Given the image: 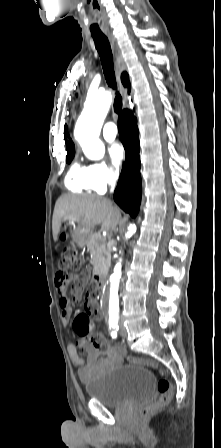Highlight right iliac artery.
Returning a JSON list of instances; mask_svg holds the SVG:
<instances>
[{
	"label": "right iliac artery",
	"mask_w": 221,
	"mask_h": 448,
	"mask_svg": "<svg viewBox=\"0 0 221 448\" xmlns=\"http://www.w3.org/2000/svg\"><path fill=\"white\" fill-rule=\"evenodd\" d=\"M109 326L111 329H114L115 331H118V316L117 317H111L109 318Z\"/></svg>",
	"instance_id": "82829eb1"
}]
</instances>
